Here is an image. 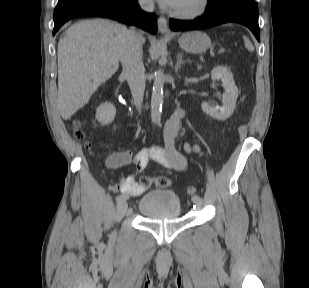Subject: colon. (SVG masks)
I'll return each instance as SVG.
<instances>
[{
    "label": "colon",
    "mask_w": 309,
    "mask_h": 288,
    "mask_svg": "<svg viewBox=\"0 0 309 288\" xmlns=\"http://www.w3.org/2000/svg\"><path fill=\"white\" fill-rule=\"evenodd\" d=\"M74 136L78 140L83 141L88 149L91 148V143L89 141L90 132L84 129V127L79 121H76L74 124ZM110 167L114 168L115 165L110 163ZM140 184L143 186H151L152 184H155L156 186L160 188H166L171 185V179L166 176L158 177L155 180H152L149 177H143L140 180ZM187 194L191 197L195 196L196 188L192 185L188 186Z\"/></svg>",
    "instance_id": "1"
}]
</instances>
